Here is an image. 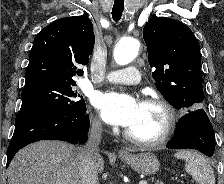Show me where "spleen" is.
Wrapping results in <instances>:
<instances>
[{
	"instance_id": "spleen-1",
	"label": "spleen",
	"mask_w": 224,
	"mask_h": 184,
	"mask_svg": "<svg viewBox=\"0 0 224 184\" xmlns=\"http://www.w3.org/2000/svg\"><path fill=\"white\" fill-rule=\"evenodd\" d=\"M175 157L186 162L185 170L199 184H215L212 167L207 160L194 151H179Z\"/></svg>"
}]
</instances>
